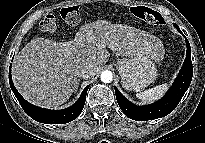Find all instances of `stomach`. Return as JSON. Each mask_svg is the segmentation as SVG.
<instances>
[{
    "label": "stomach",
    "mask_w": 205,
    "mask_h": 143,
    "mask_svg": "<svg viewBox=\"0 0 205 143\" xmlns=\"http://www.w3.org/2000/svg\"><path fill=\"white\" fill-rule=\"evenodd\" d=\"M161 53L160 51L158 52ZM126 90L139 92L153 83L158 77L156 57L153 54L139 53L123 58L116 63Z\"/></svg>",
    "instance_id": "obj_1"
}]
</instances>
